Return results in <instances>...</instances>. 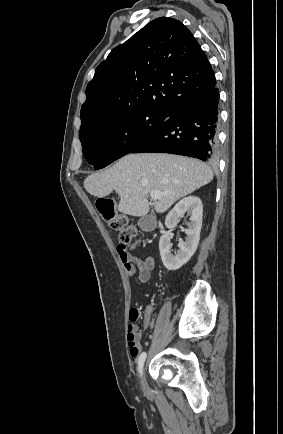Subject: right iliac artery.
Here are the masks:
<instances>
[{"label": "right iliac artery", "instance_id": "1", "mask_svg": "<svg viewBox=\"0 0 283 434\" xmlns=\"http://www.w3.org/2000/svg\"><path fill=\"white\" fill-rule=\"evenodd\" d=\"M146 352H142L138 358V371L139 373H142L143 365L146 359Z\"/></svg>", "mask_w": 283, "mask_h": 434}]
</instances>
